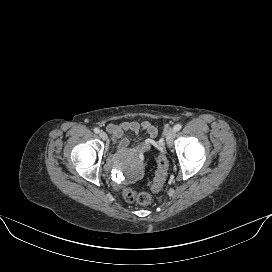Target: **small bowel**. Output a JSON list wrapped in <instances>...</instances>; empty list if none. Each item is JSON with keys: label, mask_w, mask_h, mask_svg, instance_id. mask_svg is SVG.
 Listing matches in <instances>:
<instances>
[{"label": "small bowel", "mask_w": 272, "mask_h": 272, "mask_svg": "<svg viewBox=\"0 0 272 272\" xmlns=\"http://www.w3.org/2000/svg\"><path fill=\"white\" fill-rule=\"evenodd\" d=\"M107 131L111 134L113 142L116 144V148L120 151H129L132 154L138 156L142 161H147L151 148L156 145V137L158 134L157 128L148 121L144 122H123L119 125L109 124ZM145 132L147 138L136 148L129 150V139L124 137V134L129 132L132 134H139Z\"/></svg>", "instance_id": "c3829d8e"}]
</instances>
